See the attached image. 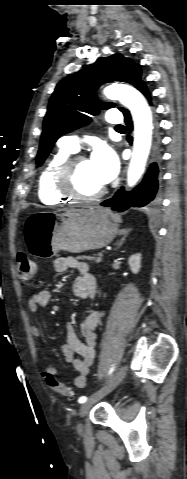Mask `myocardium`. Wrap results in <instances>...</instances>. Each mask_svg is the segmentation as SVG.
Instances as JSON below:
<instances>
[{
	"instance_id": "1",
	"label": "myocardium",
	"mask_w": 187,
	"mask_h": 479,
	"mask_svg": "<svg viewBox=\"0 0 187 479\" xmlns=\"http://www.w3.org/2000/svg\"><path fill=\"white\" fill-rule=\"evenodd\" d=\"M87 159L84 155L70 156L61 166L57 176V189L68 199L78 203H90L99 200L106 192L105 186L92 195L81 194L75 186V174L80 161Z\"/></svg>"
}]
</instances>
